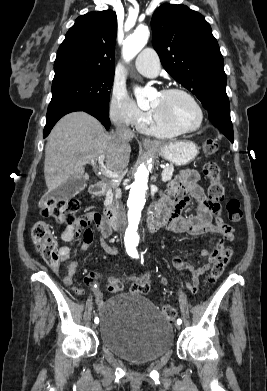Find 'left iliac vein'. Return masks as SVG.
<instances>
[{
	"instance_id": "obj_1",
	"label": "left iliac vein",
	"mask_w": 267,
	"mask_h": 391,
	"mask_svg": "<svg viewBox=\"0 0 267 391\" xmlns=\"http://www.w3.org/2000/svg\"><path fill=\"white\" fill-rule=\"evenodd\" d=\"M176 328L180 329L181 328L180 324H176Z\"/></svg>"
}]
</instances>
